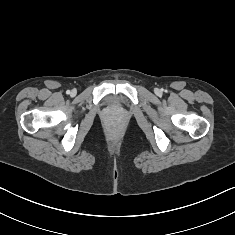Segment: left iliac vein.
Masks as SVG:
<instances>
[{
    "label": "left iliac vein",
    "instance_id": "4c4485c4",
    "mask_svg": "<svg viewBox=\"0 0 235 235\" xmlns=\"http://www.w3.org/2000/svg\"><path fill=\"white\" fill-rule=\"evenodd\" d=\"M159 93H160V91L157 89V90H156V94H159Z\"/></svg>",
    "mask_w": 235,
    "mask_h": 235
}]
</instances>
